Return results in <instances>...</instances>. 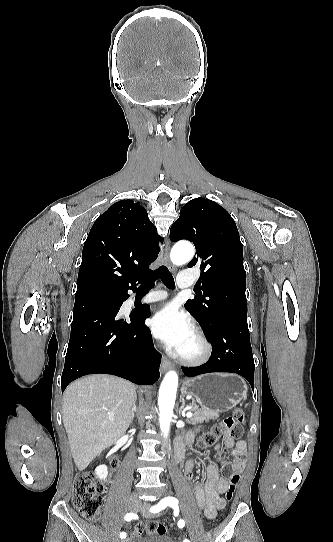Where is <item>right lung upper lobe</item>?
<instances>
[{"label":"right lung upper lobe","instance_id":"1","mask_svg":"<svg viewBox=\"0 0 333 542\" xmlns=\"http://www.w3.org/2000/svg\"><path fill=\"white\" fill-rule=\"evenodd\" d=\"M160 240L138 202L127 199L113 204L95 221L83 247V253L93 248L107 250L113 254L112 260L98 267L81 263L77 292L136 286L150 272L149 264L158 256Z\"/></svg>","mask_w":333,"mask_h":542}]
</instances>
